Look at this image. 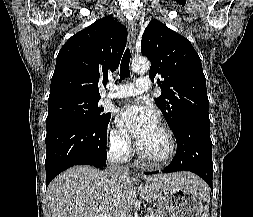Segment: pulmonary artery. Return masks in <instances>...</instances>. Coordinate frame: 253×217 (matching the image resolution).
Masks as SVG:
<instances>
[{
	"instance_id": "e3ab8cb5",
	"label": "pulmonary artery",
	"mask_w": 253,
	"mask_h": 217,
	"mask_svg": "<svg viewBox=\"0 0 253 217\" xmlns=\"http://www.w3.org/2000/svg\"><path fill=\"white\" fill-rule=\"evenodd\" d=\"M151 87V81L147 76L139 77L133 83L121 85H110V92L107 93L108 98H126L136 96L146 92Z\"/></svg>"
}]
</instances>
